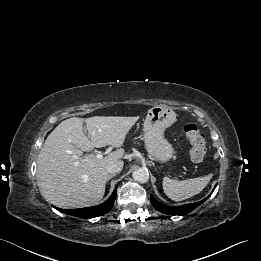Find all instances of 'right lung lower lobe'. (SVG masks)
Wrapping results in <instances>:
<instances>
[{
	"label": "right lung lower lobe",
	"instance_id": "98d812e1",
	"mask_svg": "<svg viewBox=\"0 0 261 261\" xmlns=\"http://www.w3.org/2000/svg\"><path fill=\"white\" fill-rule=\"evenodd\" d=\"M115 198H116V190H114L113 194L107 201H105L100 205L81 208V209H58V210L62 213L77 216L80 218H93L109 212L114 204Z\"/></svg>",
	"mask_w": 261,
	"mask_h": 261
}]
</instances>
